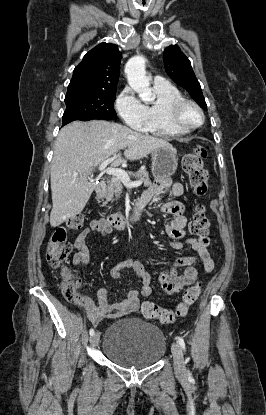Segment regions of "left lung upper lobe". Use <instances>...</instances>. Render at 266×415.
<instances>
[{"mask_svg":"<svg viewBox=\"0 0 266 415\" xmlns=\"http://www.w3.org/2000/svg\"><path fill=\"white\" fill-rule=\"evenodd\" d=\"M163 60L169 77L183 87L201 108L207 110L205 98L192 70L191 62L180 48L177 45L167 47L163 53Z\"/></svg>","mask_w":266,"mask_h":415,"instance_id":"obj_1","label":"left lung upper lobe"}]
</instances>
